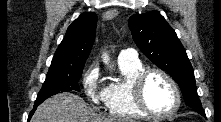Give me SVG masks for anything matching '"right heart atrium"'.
<instances>
[{
  "label": "right heart atrium",
  "mask_w": 221,
  "mask_h": 122,
  "mask_svg": "<svg viewBox=\"0 0 221 122\" xmlns=\"http://www.w3.org/2000/svg\"><path fill=\"white\" fill-rule=\"evenodd\" d=\"M99 69L91 65L84 74L83 86L87 97L95 104L105 101V88H98Z\"/></svg>",
  "instance_id": "right-heart-atrium-1"
}]
</instances>
